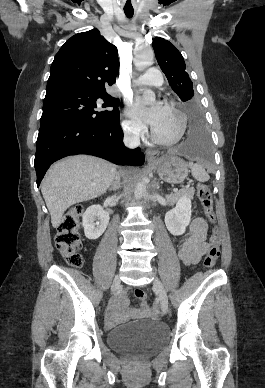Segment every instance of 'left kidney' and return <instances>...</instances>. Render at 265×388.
Listing matches in <instances>:
<instances>
[{"mask_svg": "<svg viewBox=\"0 0 265 388\" xmlns=\"http://www.w3.org/2000/svg\"><path fill=\"white\" fill-rule=\"evenodd\" d=\"M191 220V200L188 196L179 198L176 208L169 210L165 214V224L167 230L173 236H182L186 232V226H189Z\"/></svg>", "mask_w": 265, "mask_h": 388, "instance_id": "obj_1", "label": "left kidney"}]
</instances>
